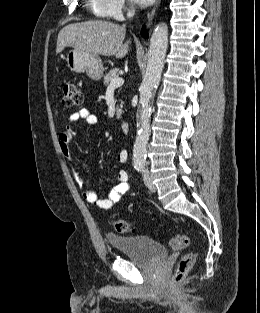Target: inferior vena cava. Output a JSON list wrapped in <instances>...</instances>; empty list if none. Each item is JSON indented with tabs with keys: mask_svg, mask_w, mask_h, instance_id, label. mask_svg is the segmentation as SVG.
<instances>
[{
	"mask_svg": "<svg viewBox=\"0 0 260 313\" xmlns=\"http://www.w3.org/2000/svg\"><path fill=\"white\" fill-rule=\"evenodd\" d=\"M134 15V11H131L127 14L128 17H132Z\"/></svg>",
	"mask_w": 260,
	"mask_h": 313,
	"instance_id": "602c4592",
	"label": "inferior vena cava"
}]
</instances>
